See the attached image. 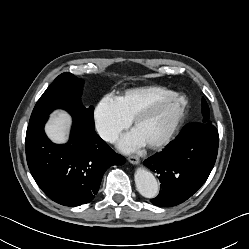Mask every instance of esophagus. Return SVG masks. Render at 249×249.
I'll return each instance as SVG.
<instances>
[{"instance_id":"obj_1","label":"esophagus","mask_w":249,"mask_h":249,"mask_svg":"<svg viewBox=\"0 0 249 249\" xmlns=\"http://www.w3.org/2000/svg\"><path fill=\"white\" fill-rule=\"evenodd\" d=\"M128 161L133 165H137L140 162V158L136 155H132V156H129Z\"/></svg>"}]
</instances>
